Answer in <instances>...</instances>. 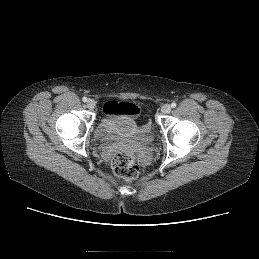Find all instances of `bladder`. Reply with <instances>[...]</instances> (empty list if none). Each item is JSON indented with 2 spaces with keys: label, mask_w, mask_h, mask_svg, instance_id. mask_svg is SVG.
Here are the masks:
<instances>
[{
  "label": "bladder",
  "mask_w": 259,
  "mask_h": 259,
  "mask_svg": "<svg viewBox=\"0 0 259 259\" xmlns=\"http://www.w3.org/2000/svg\"><path fill=\"white\" fill-rule=\"evenodd\" d=\"M139 134L136 122L131 118L114 117L106 122V127L102 131V137L106 139H119L133 137ZM151 132H149V136Z\"/></svg>",
  "instance_id": "1"
}]
</instances>
